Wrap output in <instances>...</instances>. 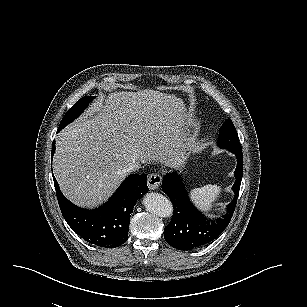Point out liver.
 <instances>
[{
	"label": "liver",
	"instance_id": "liver-1",
	"mask_svg": "<svg viewBox=\"0 0 307 307\" xmlns=\"http://www.w3.org/2000/svg\"><path fill=\"white\" fill-rule=\"evenodd\" d=\"M191 114L176 94L112 91L56 136L52 170L63 196L95 210L114 195L131 164L176 167L185 158Z\"/></svg>",
	"mask_w": 307,
	"mask_h": 307
}]
</instances>
